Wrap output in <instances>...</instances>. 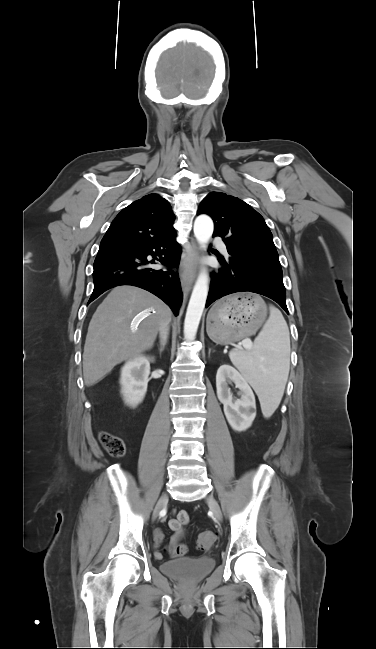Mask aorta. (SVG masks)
<instances>
[{"label":"aorta","instance_id":"1","mask_svg":"<svg viewBox=\"0 0 376 649\" xmlns=\"http://www.w3.org/2000/svg\"><path fill=\"white\" fill-rule=\"evenodd\" d=\"M214 225L208 215H199L194 222V235L203 249L213 234ZM209 289V278L205 269L199 274L194 285L184 321V336L193 340L196 336L199 323L205 308Z\"/></svg>","mask_w":376,"mask_h":649}]
</instances>
